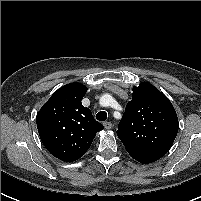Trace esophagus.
<instances>
[{
    "instance_id": "esophagus-1",
    "label": "esophagus",
    "mask_w": 201,
    "mask_h": 201,
    "mask_svg": "<svg viewBox=\"0 0 201 201\" xmlns=\"http://www.w3.org/2000/svg\"><path fill=\"white\" fill-rule=\"evenodd\" d=\"M103 125H104L105 129H111L112 126H113L112 123L109 122V121H105V122L103 123Z\"/></svg>"
}]
</instances>
